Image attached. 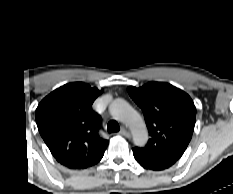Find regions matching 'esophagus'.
<instances>
[{"mask_svg":"<svg viewBox=\"0 0 233 194\" xmlns=\"http://www.w3.org/2000/svg\"><path fill=\"white\" fill-rule=\"evenodd\" d=\"M120 134L125 136L126 138H131V133L126 129L121 130Z\"/></svg>","mask_w":233,"mask_h":194,"instance_id":"34e87169","label":"esophagus"}]
</instances>
